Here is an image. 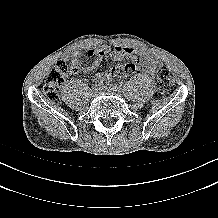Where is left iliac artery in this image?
Here are the masks:
<instances>
[{"instance_id":"44dca946","label":"left iliac artery","mask_w":218,"mask_h":218,"mask_svg":"<svg viewBox=\"0 0 218 218\" xmlns=\"http://www.w3.org/2000/svg\"><path fill=\"white\" fill-rule=\"evenodd\" d=\"M106 82L108 83V85H112V86H118L119 84L117 83V81H113L110 78L106 79Z\"/></svg>"}]
</instances>
